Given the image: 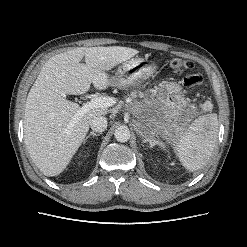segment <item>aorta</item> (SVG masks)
I'll return each instance as SVG.
<instances>
[{
  "label": "aorta",
  "mask_w": 247,
  "mask_h": 247,
  "mask_svg": "<svg viewBox=\"0 0 247 247\" xmlns=\"http://www.w3.org/2000/svg\"><path fill=\"white\" fill-rule=\"evenodd\" d=\"M114 137L118 142H127L130 139V131L126 126H120L115 130Z\"/></svg>",
  "instance_id": "aorta-1"
}]
</instances>
